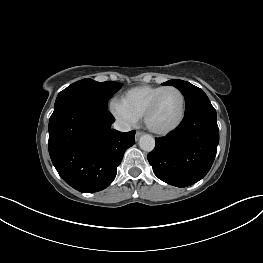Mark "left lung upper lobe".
Here are the masks:
<instances>
[{
  "mask_svg": "<svg viewBox=\"0 0 263 263\" xmlns=\"http://www.w3.org/2000/svg\"><path fill=\"white\" fill-rule=\"evenodd\" d=\"M163 84L175 86L181 91L185 97L186 102L185 112H188L200 105L210 103L207 95L200 88L192 85L189 82L172 79Z\"/></svg>",
  "mask_w": 263,
  "mask_h": 263,
  "instance_id": "obj_1",
  "label": "left lung upper lobe"
}]
</instances>
